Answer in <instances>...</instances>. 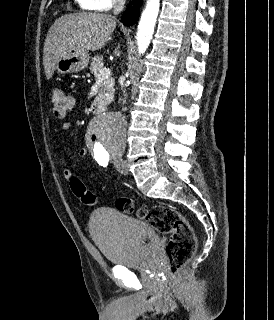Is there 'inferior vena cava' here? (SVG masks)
<instances>
[{
    "label": "inferior vena cava",
    "instance_id": "1",
    "mask_svg": "<svg viewBox=\"0 0 274 320\" xmlns=\"http://www.w3.org/2000/svg\"><path fill=\"white\" fill-rule=\"evenodd\" d=\"M126 0H113V6H114V10H113V18H116V16H118V14H121L122 10H124V4H125ZM125 80V78H124ZM126 86L125 84H122L121 86V90L123 92V100H122V104H126L127 102V94H126V90H125Z\"/></svg>",
    "mask_w": 274,
    "mask_h": 320
}]
</instances>
